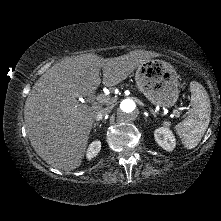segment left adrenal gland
I'll use <instances>...</instances> for the list:
<instances>
[{
  "instance_id": "a2214340",
  "label": "left adrenal gland",
  "mask_w": 221,
  "mask_h": 221,
  "mask_svg": "<svg viewBox=\"0 0 221 221\" xmlns=\"http://www.w3.org/2000/svg\"><path fill=\"white\" fill-rule=\"evenodd\" d=\"M151 111V113L153 114V115H155V112L153 111V110H150Z\"/></svg>"
}]
</instances>
